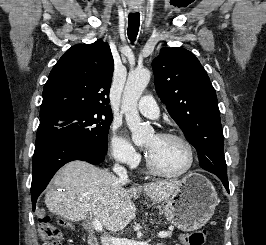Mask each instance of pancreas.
<instances>
[{
	"instance_id": "pancreas-1",
	"label": "pancreas",
	"mask_w": 266,
	"mask_h": 245,
	"mask_svg": "<svg viewBox=\"0 0 266 245\" xmlns=\"http://www.w3.org/2000/svg\"><path fill=\"white\" fill-rule=\"evenodd\" d=\"M167 233H170V235H171V231H167ZM170 235H169V237H170Z\"/></svg>"
}]
</instances>
